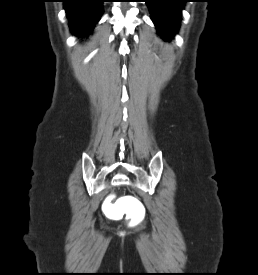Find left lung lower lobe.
<instances>
[{"instance_id":"1","label":"left lung lower lobe","mask_w":258,"mask_h":275,"mask_svg":"<svg viewBox=\"0 0 258 275\" xmlns=\"http://www.w3.org/2000/svg\"><path fill=\"white\" fill-rule=\"evenodd\" d=\"M186 0H146L151 19L156 25L158 34L168 37L174 35L180 23V11Z\"/></svg>"}]
</instances>
